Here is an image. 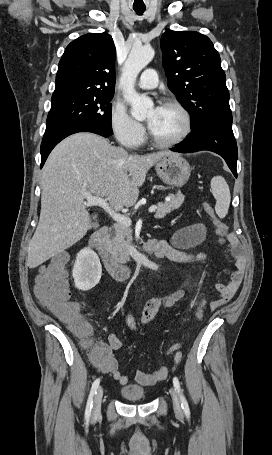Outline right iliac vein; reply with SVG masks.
Listing matches in <instances>:
<instances>
[{
    "label": "right iliac vein",
    "mask_w": 272,
    "mask_h": 455,
    "mask_svg": "<svg viewBox=\"0 0 272 455\" xmlns=\"http://www.w3.org/2000/svg\"><path fill=\"white\" fill-rule=\"evenodd\" d=\"M103 397V388L99 387L98 391L95 394L94 404H93V416H97L101 410V402Z\"/></svg>",
    "instance_id": "right-iliac-vein-1"
}]
</instances>
